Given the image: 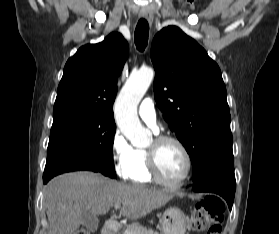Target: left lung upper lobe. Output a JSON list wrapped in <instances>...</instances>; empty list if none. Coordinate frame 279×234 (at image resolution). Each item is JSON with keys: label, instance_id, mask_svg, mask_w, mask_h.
<instances>
[{"label": "left lung upper lobe", "instance_id": "left-lung-upper-lobe-1", "mask_svg": "<svg viewBox=\"0 0 279 234\" xmlns=\"http://www.w3.org/2000/svg\"><path fill=\"white\" fill-rule=\"evenodd\" d=\"M151 59L154 97L190 155L193 182L221 171L234 172L231 117L219 66L176 26L156 34Z\"/></svg>", "mask_w": 279, "mask_h": 234}]
</instances>
